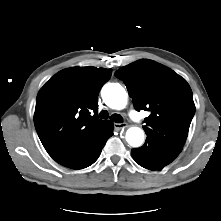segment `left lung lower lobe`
<instances>
[{
	"label": "left lung lower lobe",
	"mask_w": 221,
	"mask_h": 221,
	"mask_svg": "<svg viewBox=\"0 0 221 221\" xmlns=\"http://www.w3.org/2000/svg\"><path fill=\"white\" fill-rule=\"evenodd\" d=\"M133 159L142 167L149 170H161L171 163L179 154L167 146L147 140L144 146L131 150Z\"/></svg>",
	"instance_id": "0a47b994"
}]
</instances>
